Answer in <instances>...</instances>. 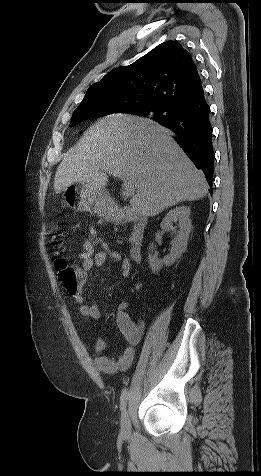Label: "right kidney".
<instances>
[{
	"mask_svg": "<svg viewBox=\"0 0 261 476\" xmlns=\"http://www.w3.org/2000/svg\"><path fill=\"white\" fill-rule=\"evenodd\" d=\"M189 216L190 208L187 206L175 207L165 215L160 227L162 231H171L172 234H175V236L171 241L172 247L169 255L165 256L163 259H158L156 256L149 254L148 263L153 273H158L163 264L166 266L172 265L185 252L189 234L192 228ZM177 221L180 228L178 231H176L172 226V222ZM153 249L154 245L150 244L149 251H153Z\"/></svg>",
	"mask_w": 261,
	"mask_h": 476,
	"instance_id": "ca27d5eb",
	"label": "right kidney"
}]
</instances>
